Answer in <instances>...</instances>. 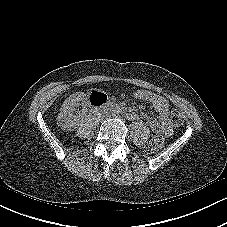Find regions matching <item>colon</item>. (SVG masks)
<instances>
[{
    "instance_id": "1",
    "label": "colon",
    "mask_w": 227,
    "mask_h": 227,
    "mask_svg": "<svg viewBox=\"0 0 227 227\" xmlns=\"http://www.w3.org/2000/svg\"><path fill=\"white\" fill-rule=\"evenodd\" d=\"M101 95H104V94L99 91L93 90L90 92V100L92 98H95V97L101 96ZM170 119H171L172 124L175 126H180L183 122L182 114L176 109H173L170 112ZM163 145H164V137L162 135L158 134V135L153 136L148 141V143L146 145V149L149 152H155V151L161 149L163 147Z\"/></svg>"
}]
</instances>
